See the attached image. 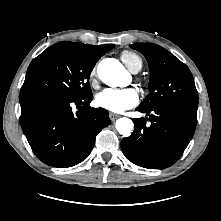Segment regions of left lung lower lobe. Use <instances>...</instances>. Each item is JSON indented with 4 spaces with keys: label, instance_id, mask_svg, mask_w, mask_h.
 Returning a JSON list of instances; mask_svg holds the SVG:
<instances>
[{
    "label": "left lung lower lobe",
    "instance_id": "left-lung-lower-lobe-1",
    "mask_svg": "<svg viewBox=\"0 0 221 221\" xmlns=\"http://www.w3.org/2000/svg\"><path fill=\"white\" fill-rule=\"evenodd\" d=\"M136 110L149 118L133 119L134 132L121 141L125 157L143 168L162 169L173 165L192 139L197 107L170 103ZM147 120L151 122L149 126Z\"/></svg>",
    "mask_w": 221,
    "mask_h": 221
}]
</instances>
